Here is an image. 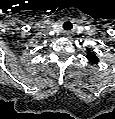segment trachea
<instances>
[{
  "instance_id": "3493384b",
  "label": "trachea",
  "mask_w": 115,
  "mask_h": 119,
  "mask_svg": "<svg viewBox=\"0 0 115 119\" xmlns=\"http://www.w3.org/2000/svg\"><path fill=\"white\" fill-rule=\"evenodd\" d=\"M63 29L65 31H71L73 29V24L71 22H65L63 24Z\"/></svg>"
}]
</instances>
